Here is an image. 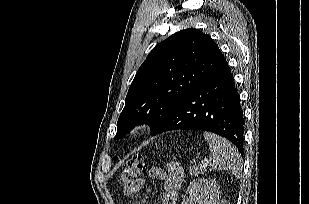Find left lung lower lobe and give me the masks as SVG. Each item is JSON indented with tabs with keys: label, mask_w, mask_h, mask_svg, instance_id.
<instances>
[{
	"label": "left lung lower lobe",
	"mask_w": 309,
	"mask_h": 204,
	"mask_svg": "<svg viewBox=\"0 0 309 204\" xmlns=\"http://www.w3.org/2000/svg\"><path fill=\"white\" fill-rule=\"evenodd\" d=\"M179 129L216 133L243 154L244 115L226 60L174 108L153 134Z\"/></svg>",
	"instance_id": "0a47b994"
}]
</instances>
